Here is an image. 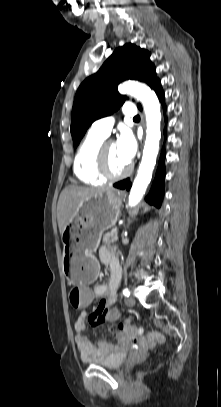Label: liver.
<instances>
[{"mask_svg": "<svg viewBox=\"0 0 221 407\" xmlns=\"http://www.w3.org/2000/svg\"><path fill=\"white\" fill-rule=\"evenodd\" d=\"M109 188L68 186L60 194L57 205L59 232L62 234L66 225L74 218L79 205L87 198L104 192Z\"/></svg>", "mask_w": 221, "mask_h": 407, "instance_id": "obj_1", "label": "liver"}]
</instances>
